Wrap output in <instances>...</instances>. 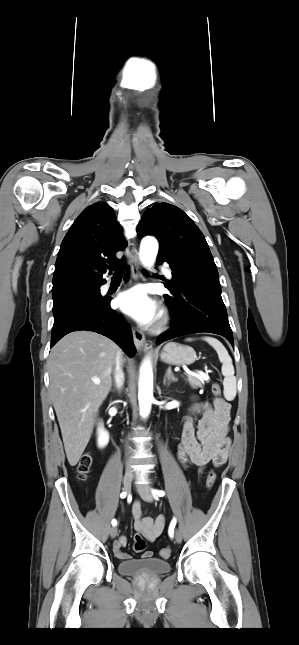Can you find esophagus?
<instances>
[{"mask_svg": "<svg viewBox=\"0 0 299 645\" xmlns=\"http://www.w3.org/2000/svg\"><path fill=\"white\" fill-rule=\"evenodd\" d=\"M130 266H131L133 278L135 280L141 278L142 277L141 264L139 261L136 244L134 242L132 243V248H131ZM133 339H134V344L139 351L141 350L146 351L150 349L152 346V343L150 341H147L145 338V335L137 328L133 329Z\"/></svg>", "mask_w": 299, "mask_h": 645, "instance_id": "esophagus-1", "label": "esophagus"}]
</instances>
